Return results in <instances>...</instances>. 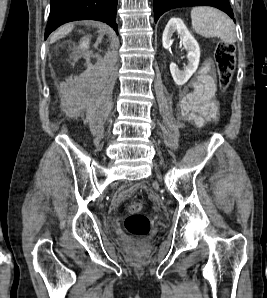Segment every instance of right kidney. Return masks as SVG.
<instances>
[{
    "label": "right kidney",
    "mask_w": 267,
    "mask_h": 298,
    "mask_svg": "<svg viewBox=\"0 0 267 298\" xmlns=\"http://www.w3.org/2000/svg\"><path fill=\"white\" fill-rule=\"evenodd\" d=\"M89 40H85L82 42L81 47L88 48Z\"/></svg>",
    "instance_id": "obj_1"
}]
</instances>
